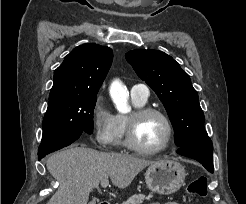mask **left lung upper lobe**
<instances>
[{
	"mask_svg": "<svg viewBox=\"0 0 246 204\" xmlns=\"http://www.w3.org/2000/svg\"><path fill=\"white\" fill-rule=\"evenodd\" d=\"M125 57L162 101L174 127L177 146L208 136L197 91L171 56L158 50H132Z\"/></svg>",
	"mask_w": 246,
	"mask_h": 204,
	"instance_id": "obj_1",
	"label": "left lung upper lobe"
}]
</instances>
